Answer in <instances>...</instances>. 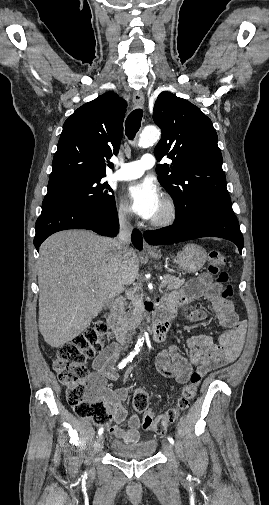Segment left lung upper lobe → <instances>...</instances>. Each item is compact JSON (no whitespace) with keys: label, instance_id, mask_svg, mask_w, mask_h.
Returning <instances> with one entry per match:
<instances>
[{"label":"left lung upper lobe","instance_id":"left-lung-upper-lobe-1","mask_svg":"<svg viewBox=\"0 0 269 505\" xmlns=\"http://www.w3.org/2000/svg\"><path fill=\"white\" fill-rule=\"evenodd\" d=\"M153 120L162 130L154 154L158 161L164 156L172 160L171 165H158L156 172L174 200L176 222H188L209 206H231L211 120L189 101L167 91L154 104Z\"/></svg>","mask_w":269,"mask_h":505}]
</instances>
